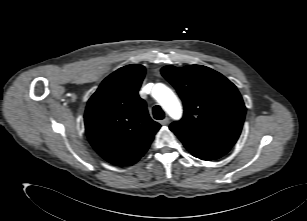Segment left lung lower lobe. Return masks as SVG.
Wrapping results in <instances>:
<instances>
[{
	"instance_id": "obj_1",
	"label": "left lung lower lobe",
	"mask_w": 307,
	"mask_h": 221,
	"mask_svg": "<svg viewBox=\"0 0 307 221\" xmlns=\"http://www.w3.org/2000/svg\"><path fill=\"white\" fill-rule=\"evenodd\" d=\"M185 148L195 157L202 160H215L227 152L230 148L228 147H218V146H209L201 143H196L187 140H181Z\"/></svg>"
}]
</instances>
